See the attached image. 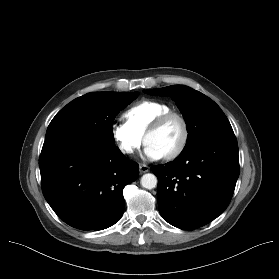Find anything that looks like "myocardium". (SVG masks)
<instances>
[{
    "label": "myocardium",
    "instance_id": "obj_1",
    "mask_svg": "<svg viewBox=\"0 0 279 279\" xmlns=\"http://www.w3.org/2000/svg\"><path fill=\"white\" fill-rule=\"evenodd\" d=\"M171 118H175L180 122L182 127V137L178 146L172 152L164 156V159L166 160H172L177 158L183 153V151L187 147V144L189 142V137H190V129H189L188 121L185 118V116L176 111H168L166 113H163L150 124V126L145 131L143 137L144 143H146L145 141L146 136L150 133L158 131Z\"/></svg>",
    "mask_w": 279,
    "mask_h": 279
}]
</instances>
